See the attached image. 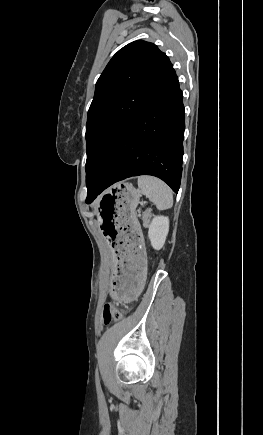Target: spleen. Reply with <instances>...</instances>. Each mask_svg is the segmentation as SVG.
<instances>
[{"instance_id":"1","label":"spleen","mask_w":263,"mask_h":435,"mask_svg":"<svg viewBox=\"0 0 263 435\" xmlns=\"http://www.w3.org/2000/svg\"><path fill=\"white\" fill-rule=\"evenodd\" d=\"M140 192L156 205L157 209L165 210L173 205V195L169 186L153 176H139Z\"/></svg>"}]
</instances>
